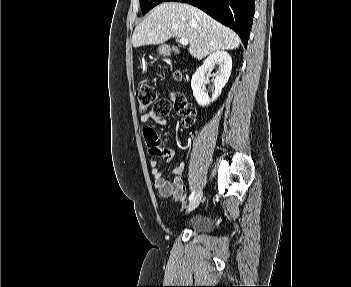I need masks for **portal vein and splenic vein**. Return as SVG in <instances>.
Here are the masks:
<instances>
[{
  "label": "portal vein and splenic vein",
  "mask_w": 351,
  "mask_h": 287,
  "mask_svg": "<svg viewBox=\"0 0 351 287\" xmlns=\"http://www.w3.org/2000/svg\"><path fill=\"white\" fill-rule=\"evenodd\" d=\"M179 42H180V44H182V45H188V44H189V41H188V39H186V38H180Z\"/></svg>",
  "instance_id": "obj_1"
}]
</instances>
